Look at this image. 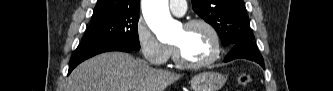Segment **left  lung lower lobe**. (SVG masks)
Masks as SVG:
<instances>
[{
    "mask_svg": "<svg viewBox=\"0 0 333 91\" xmlns=\"http://www.w3.org/2000/svg\"><path fill=\"white\" fill-rule=\"evenodd\" d=\"M230 52L225 57V62L244 58L260 64L264 68V61L253 41H245L234 44L230 47Z\"/></svg>",
    "mask_w": 333,
    "mask_h": 91,
    "instance_id": "0a47b994",
    "label": "left lung lower lobe"
}]
</instances>
